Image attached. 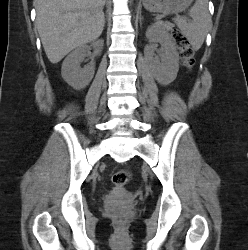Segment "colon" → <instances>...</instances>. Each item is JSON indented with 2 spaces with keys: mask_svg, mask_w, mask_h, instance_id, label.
I'll return each instance as SVG.
<instances>
[{
  "mask_svg": "<svg viewBox=\"0 0 248 250\" xmlns=\"http://www.w3.org/2000/svg\"><path fill=\"white\" fill-rule=\"evenodd\" d=\"M172 38L180 51L183 64L191 68L195 64V52L187 37L178 29L172 31ZM112 182L116 186H124L130 182V173L127 170H118L112 175Z\"/></svg>",
  "mask_w": 248,
  "mask_h": 250,
  "instance_id": "1",
  "label": "colon"
}]
</instances>
